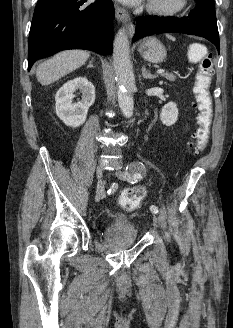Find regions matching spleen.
Here are the masks:
<instances>
[{
    "instance_id": "obj_1",
    "label": "spleen",
    "mask_w": 233,
    "mask_h": 328,
    "mask_svg": "<svg viewBox=\"0 0 233 328\" xmlns=\"http://www.w3.org/2000/svg\"><path fill=\"white\" fill-rule=\"evenodd\" d=\"M198 50H199V47H198V46H193V47H192V51H193V52L197 53ZM198 54H199V53H198Z\"/></svg>"
}]
</instances>
